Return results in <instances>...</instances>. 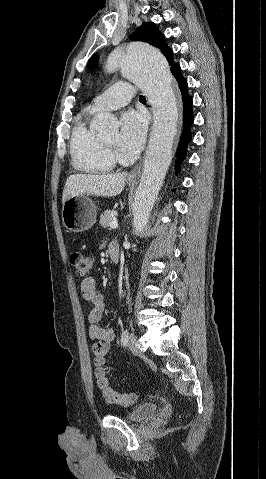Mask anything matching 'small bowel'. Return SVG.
<instances>
[{"label":"small bowel","mask_w":266,"mask_h":479,"mask_svg":"<svg viewBox=\"0 0 266 479\" xmlns=\"http://www.w3.org/2000/svg\"><path fill=\"white\" fill-rule=\"evenodd\" d=\"M81 294L91 306L88 320L90 322L89 336L92 339L112 342L116 337V331L112 328L105 329L99 325L103 318L104 300L100 293L96 281L92 277H87L81 282Z\"/></svg>","instance_id":"c3829d8e"}]
</instances>
